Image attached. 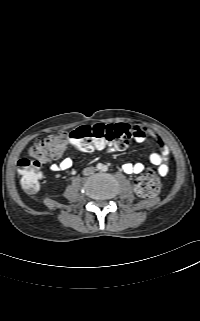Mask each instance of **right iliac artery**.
<instances>
[{
	"instance_id": "1",
	"label": "right iliac artery",
	"mask_w": 200,
	"mask_h": 321,
	"mask_svg": "<svg viewBox=\"0 0 200 321\" xmlns=\"http://www.w3.org/2000/svg\"><path fill=\"white\" fill-rule=\"evenodd\" d=\"M97 168H98V169H102V168H103V167H102V164L99 163V164L97 165Z\"/></svg>"
}]
</instances>
